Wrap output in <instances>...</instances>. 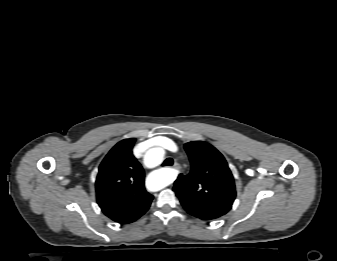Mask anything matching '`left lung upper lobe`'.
<instances>
[{"label": "left lung upper lobe", "mask_w": 337, "mask_h": 261, "mask_svg": "<svg viewBox=\"0 0 337 261\" xmlns=\"http://www.w3.org/2000/svg\"><path fill=\"white\" fill-rule=\"evenodd\" d=\"M184 148L191 162L188 175L180 174L173 190L190 215L210 221L225 215L236 197L232 173L223 155L203 141Z\"/></svg>", "instance_id": "5c2ea615"}]
</instances>
